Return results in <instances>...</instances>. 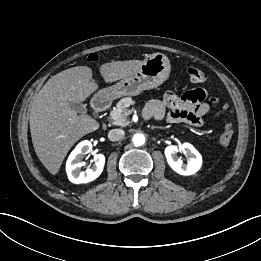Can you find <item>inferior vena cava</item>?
I'll return each instance as SVG.
<instances>
[{"label": "inferior vena cava", "instance_id": "obj_1", "mask_svg": "<svg viewBox=\"0 0 261 261\" xmlns=\"http://www.w3.org/2000/svg\"><path fill=\"white\" fill-rule=\"evenodd\" d=\"M125 132L122 129H112L108 133V138L111 141H119L124 138Z\"/></svg>", "mask_w": 261, "mask_h": 261}]
</instances>
